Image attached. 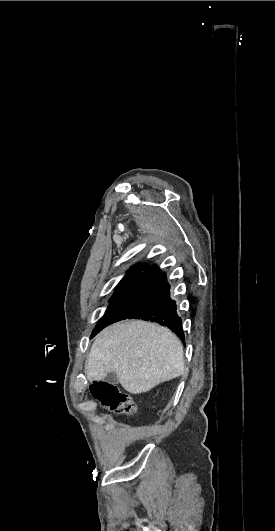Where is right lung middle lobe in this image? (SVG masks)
I'll use <instances>...</instances> for the list:
<instances>
[{
	"mask_svg": "<svg viewBox=\"0 0 275 531\" xmlns=\"http://www.w3.org/2000/svg\"><path fill=\"white\" fill-rule=\"evenodd\" d=\"M143 271H132L131 273L127 274L119 283V286L115 290L111 300L109 301L110 305L105 313L112 308V306L127 292L128 289H130L141 277ZM105 317V316H104ZM104 317L98 322L95 329L93 330L92 336H94L101 326V323L103 322Z\"/></svg>",
	"mask_w": 275,
	"mask_h": 531,
	"instance_id": "1",
	"label": "right lung middle lobe"
}]
</instances>
